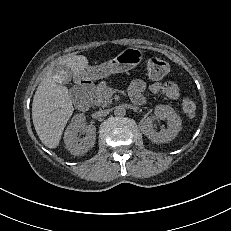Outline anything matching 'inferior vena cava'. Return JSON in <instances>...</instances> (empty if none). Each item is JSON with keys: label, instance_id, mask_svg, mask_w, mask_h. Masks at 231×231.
Listing matches in <instances>:
<instances>
[{"label": "inferior vena cava", "instance_id": "inferior-vena-cava-1", "mask_svg": "<svg viewBox=\"0 0 231 231\" xmlns=\"http://www.w3.org/2000/svg\"><path fill=\"white\" fill-rule=\"evenodd\" d=\"M107 114H109V110H99L97 112L94 113L95 117H102V116H106Z\"/></svg>", "mask_w": 231, "mask_h": 231}]
</instances>
